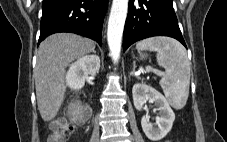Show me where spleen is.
Returning <instances> with one entry per match:
<instances>
[{
    "instance_id": "1",
    "label": "spleen",
    "mask_w": 227,
    "mask_h": 142,
    "mask_svg": "<svg viewBox=\"0 0 227 142\" xmlns=\"http://www.w3.org/2000/svg\"><path fill=\"white\" fill-rule=\"evenodd\" d=\"M136 48L157 52L158 65L165 69L160 86L171 106L183 108L190 85V63L184 46L171 38L152 37L138 42Z\"/></svg>"
}]
</instances>
